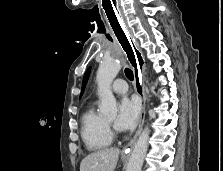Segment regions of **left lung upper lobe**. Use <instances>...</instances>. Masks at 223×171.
<instances>
[{
	"mask_svg": "<svg viewBox=\"0 0 223 171\" xmlns=\"http://www.w3.org/2000/svg\"><path fill=\"white\" fill-rule=\"evenodd\" d=\"M90 69H91V68H88L87 71H86V73H85V75H84L83 83H82V91H81V95H82V93H83V91H84V88H85V86H86V83H87V81H88L89 74H90ZM80 97H81V96H80Z\"/></svg>",
	"mask_w": 223,
	"mask_h": 171,
	"instance_id": "left-lung-upper-lobe-1",
	"label": "left lung upper lobe"
}]
</instances>
